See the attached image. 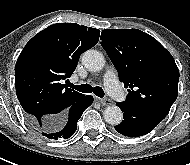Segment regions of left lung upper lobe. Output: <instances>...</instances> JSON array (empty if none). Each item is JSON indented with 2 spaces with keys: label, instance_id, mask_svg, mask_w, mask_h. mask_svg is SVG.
<instances>
[{
  "label": "left lung upper lobe",
  "instance_id": "1",
  "mask_svg": "<svg viewBox=\"0 0 190 165\" xmlns=\"http://www.w3.org/2000/svg\"><path fill=\"white\" fill-rule=\"evenodd\" d=\"M101 45L128 88L130 107L168 114L178 95L179 70L172 55L137 29H105Z\"/></svg>",
  "mask_w": 190,
  "mask_h": 165
}]
</instances>
